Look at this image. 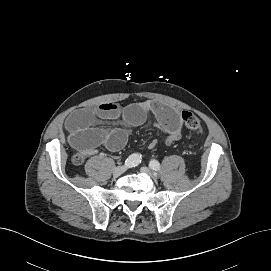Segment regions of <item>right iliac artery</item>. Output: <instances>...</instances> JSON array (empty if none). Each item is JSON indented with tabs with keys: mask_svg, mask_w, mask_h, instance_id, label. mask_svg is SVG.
Returning a JSON list of instances; mask_svg holds the SVG:
<instances>
[{
	"mask_svg": "<svg viewBox=\"0 0 271 271\" xmlns=\"http://www.w3.org/2000/svg\"><path fill=\"white\" fill-rule=\"evenodd\" d=\"M141 162V155L134 153L132 155H130L126 161H125V166L126 167H135L137 166L139 163Z\"/></svg>",
	"mask_w": 271,
	"mask_h": 271,
	"instance_id": "obj_1",
	"label": "right iliac artery"
}]
</instances>
